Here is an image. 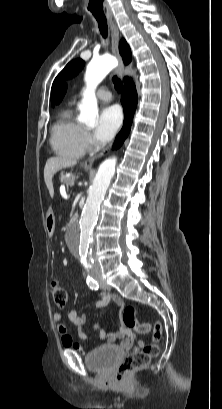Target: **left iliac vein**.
<instances>
[{
	"mask_svg": "<svg viewBox=\"0 0 222 409\" xmlns=\"http://www.w3.org/2000/svg\"><path fill=\"white\" fill-rule=\"evenodd\" d=\"M96 279H97L98 283L100 284V287L103 290H105V291L110 290V286L106 283V281L100 275H98L96 277Z\"/></svg>",
	"mask_w": 222,
	"mask_h": 409,
	"instance_id": "left-iliac-vein-1",
	"label": "left iliac vein"
}]
</instances>
